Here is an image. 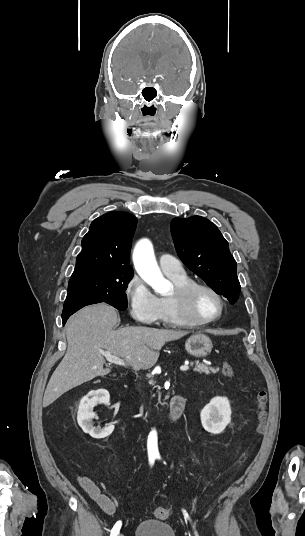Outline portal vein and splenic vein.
Returning a JSON list of instances; mask_svg holds the SVG:
<instances>
[{
	"instance_id": "18ae733b",
	"label": "portal vein and splenic vein",
	"mask_w": 305,
	"mask_h": 536,
	"mask_svg": "<svg viewBox=\"0 0 305 536\" xmlns=\"http://www.w3.org/2000/svg\"><path fill=\"white\" fill-rule=\"evenodd\" d=\"M102 356H105L107 362H110V364H118V366H127L121 358H117V356H112V354H102ZM180 370L182 372H186V370H189L188 364H185V366H181Z\"/></svg>"
}]
</instances>
